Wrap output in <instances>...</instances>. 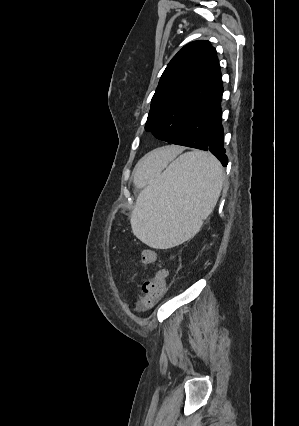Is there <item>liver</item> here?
<instances>
[{
  "mask_svg": "<svg viewBox=\"0 0 299 426\" xmlns=\"http://www.w3.org/2000/svg\"><path fill=\"white\" fill-rule=\"evenodd\" d=\"M174 147H162L147 153L135 167V176H144L150 173L155 167L167 162L175 154Z\"/></svg>",
  "mask_w": 299,
  "mask_h": 426,
  "instance_id": "obj_1",
  "label": "liver"
}]
</instances>
